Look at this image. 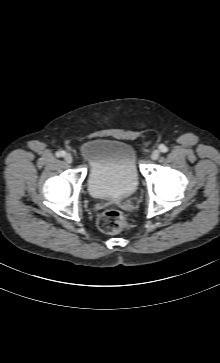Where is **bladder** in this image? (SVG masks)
I'll use <instances>...</instances> for the list:
<instances>
[{
	"mask_svg": "<svg viewBox=\"0 0 220 363\" xmlns=\"http://www.w3.org/2000/svg\"><path fill=\"white\" fill-rule=\"evenodd\" d=\"M78 152L88 166L86 186L92 197L120 199L137 189V153L129 142L93 138L82 142Z\"/></svg>",
	"mask_w": 220,
	"mask_h": 363,
	"instance_id": "obj_1",
	"label": "bladder"
}]
</instances>
